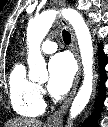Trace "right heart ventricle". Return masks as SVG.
Here are the masks:
<instances>
[{
    "label": "right heart ventricle",
    "instance_id": "right-heart-ventricle-1",
    "mask_svg": "<svg viewBox=\"0 0 108 127\" xmlns=\"http://www.w3.org/2000/svg\"><path fill=\"white\" fill-rule=\"evenodd\" d=\"M9 98L13 110L23 117H36L44 111L39 87L27 77L21 63L15 64L10 72Z\"/></svg>",
    "mask_w": 108,
    "mask_h": 127
}]
</instances>
